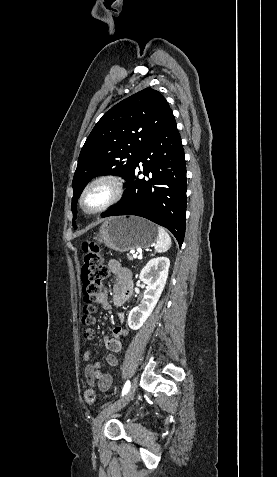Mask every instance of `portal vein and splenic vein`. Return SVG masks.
Returning <instances> with one entry per match:
<instances>
[{"label": "portal vein and splenic vein", "instance_id": "portal-vein-and-splenic-vein-1", "mask_svg": "<svg viewBox=\"0 0 277 477\" xmlns=\"http://www.w3.org/2000/svg\"><path fill=\"white\" fill-rule=\"evenodd\" d=\"M133 258H139L137 254H133Z\"/></svg>", "mask_w": 277, "mask_h": 477}]
</instances>
